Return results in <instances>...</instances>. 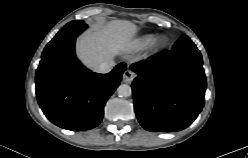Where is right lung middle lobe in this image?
<instances>
[{"mask_svg": "<svg viewBox=\"0 0 248 158\" xmlns=\"http://www.w3.org/2000/svg\"><path fill=\"white\" fill-rule=\"evenodd\" d=\"M83 22L82 21H71L69 22L68 24H66L64 27H71V26H76V25H79V24H82Z\"/></svg>", "mask_w": 248, "mask_h": 158, "instance_id": "right-lung-middle-lobe-1", "label": "right lung middle lobe"}]
</instances>
